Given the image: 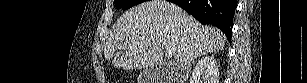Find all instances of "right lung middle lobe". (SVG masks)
<instances>
[{
    "instance_id": "1",
    "label": "right lung middle lobe",
    "mask_w": 307,
    "mask_h": 83,
    "mask_svg": "<svg viewBox=\"0 0 307 83\" xmlns=\"http://www.w3.org/2000/svg\"><path fill=\"white\" fill-rule=\"evenodd\" d=\"M142 2L144 0H115V5L117 9L126 10Z\"/></svg>"
}]
</instances>
